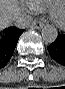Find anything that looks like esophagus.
I'll return each instance as SVG.
<instances>
[{
	"mask_svg": "<svg viewBox=\"0 0 65 89\" xmlns=\"http://www.w3.org/2000/svg\"><path fill=\"white\" fill-rule=\"evenodd\" d=\"M31 28H34V29H41L43 27V23L39 20H34L31 25H30Z\"/></svg>",
	"mask_w": 65,
	"mask_h": 89,
	"instance_id": "34e87169",
	"label": "esophagus"
}]
</instances>
